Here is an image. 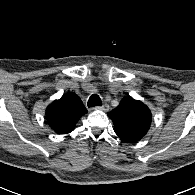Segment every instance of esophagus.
Returning a JSON list of instances; mask_svg holds the SVG:
<instances>
[{"label":"esophagus","instance_id":"obj_1","mask_svg":"<svg viewBox=\"0 0 195 195\" xmlns=\"http://www.w3.org/2000/svg\"><path fill=\"white\" fill-rule=\"evenodd\" d=\"M95 109L102 110V111H108L109 110V105L108 104H103L102 106H96Z\"/></svg>","mask_w":195,"mask_h":195}]
</instances>
